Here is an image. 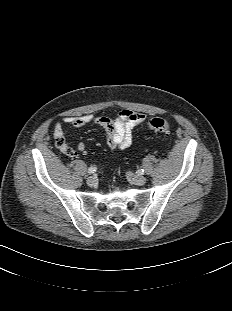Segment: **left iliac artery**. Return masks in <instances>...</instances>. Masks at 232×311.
Here are the masks:
<instances>
[{
	"instance_id": "left-iliac-artery-1",
	"label": "left iliac artery",
	"mask_w": 232,
	"mask_h": 311,
	"mask_svg": "<svg viewBox=\"0 0 232 311\" xmlns=\"http://www.w3.org/2000/svg\"><path fill=\"white\" fill-rule=\"evenodd\" d=\"M138 173L141 175L144 174V169L138 170Z\"/></svg>"
}]
</instances>
